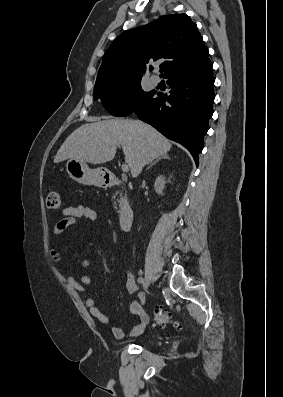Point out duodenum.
I'll return each instance as SVG.
<instances>
[{
  "instance_id": "duodenum-1",
  "label": "duodenum",
  "mask_w": 283,
  "mask_h": 397,
  "mask_svg": "<svg viewBox=\"0 0 283 397\" xmlns=\"http://www.w3.org/2000/svg\"><path fill=\"white\" fill-rule=\"evenodd\" d=\"M107 185H119L121 181L115 177L110 176L106 180ZM134 221V211L130 205H123L119 212V226L123 231H128L132 227Z\"/></svg>"
}]
</instances>
